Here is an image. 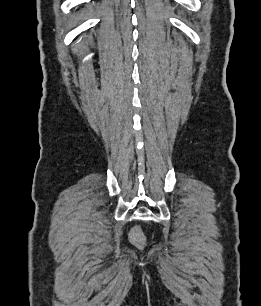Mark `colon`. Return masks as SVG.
<instances>
[{
	"label": "colon",
	"mask_w": 261,
	"mask_h": 306,
	"mask_svg": "<svg viewBox=\"0 0 261 306\" xmlns=\"http://www.w3.org/2000/svg\"><path fill=\"white\" fill-rule=\"evenodd\" d=\"M130 239L137 246H141L144 244V235L138 227H134L131 230Z\"/></svg>",
	"instance_id": "1"
}]
</instances>
